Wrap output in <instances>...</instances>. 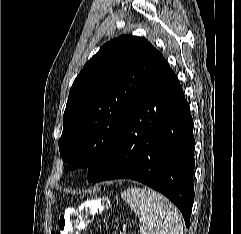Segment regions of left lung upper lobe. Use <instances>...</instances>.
<instances>
[{
  "instance_id": "5c2ea615",
  "label": "left lung upper lobe",
  "mask_w": 241,
  "mask_h": 234,
  "mask_svg": "<svg viewBox=\"0 0 241 234\" xmlns=\"http://www.w3.org/2000/svg\"><path fill=\"white\" fill-rule=\"evenodd\" d=\"M164 60L148 40L123 35L104 44L74 80L59 150L70 170L104 165L140 91Z\"/></svg>"
}]
</instances>
